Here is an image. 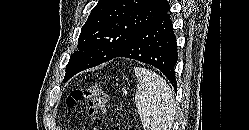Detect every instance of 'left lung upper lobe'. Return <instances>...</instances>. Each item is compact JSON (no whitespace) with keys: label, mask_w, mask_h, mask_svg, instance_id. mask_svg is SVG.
Returning a JSON list of instances; mask_svg holds the SVG:
<instances>
[{"label":"left lung upper lobe","mask_w":249,"mask_h":130,"mask_svg":"<svg viewBox=\"0 0 249 130\" xmlns=\"http://www.w3.org/2000/svg\"><path fill=\"white\" fill-rule=\"evenodd\" d=\"M169 9L167 0H100L81 29L79 51L70 58L63 82L111 60L134 35Z\"/></svg>","instance_id":"5c2ea615"}]
</instances>
